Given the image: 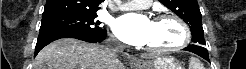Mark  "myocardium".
I'll list each match as a JSON object with an SVG mask.
<instances>
[{
    "mask_svg": "<svg viewBox=\"0 0 246 69\" xmlns=\"http://www.w3.org/2000/svg\"><path fill=\"white\" fill-rule=\"evenodd\" d=\"M158 20H172L173 22H175L177 26H179V28L181 29L182 38L178 43H176L173 46L159 48V47H152V46L146 45L147 49L156 51V52H170V51H176V50L183 49L190 43V40H191L190 30L187 24L180 17L172 13H161V14L156 15L153 18V21H158Z\"/></svg>",
    "mask_w": 246,
    "mask_h": 69,
    "instance_id": "f54148a6",
    "label": "myocardium"
}]
</instances>
